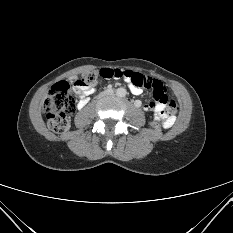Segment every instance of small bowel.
<instances>
[{
    "label": "small bowel",
    "mask_w": 233,
    "mask_h": 233,
    "mask_svg": "<svg viewBox=\"0 0 233 233\" xmlns=\"http://www.w3.org/2000/svg\"><path fill=\"white\" fill-rule=\"evenodd\" d=\"M126 80V79H125ZM157 81V80H156ZM125 85L131 89V92L135 95L142 93V89L133 86L128 80H126ZM74 91L79 95L78 107L83 108L88 102V96L95 91L93 86H81L78 83L74 84ZM148 110L155 112V118L162 120L164 122V127H170L173 123V119L168 118L164 113L163 104L155 103L152 101L149 105L146 106Z\"/></svg>",
    "instance_id": "c3829d8e"
}]
</instances>
